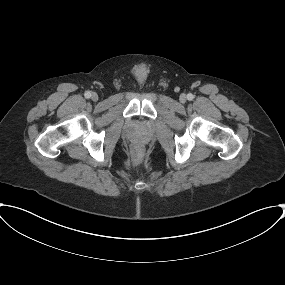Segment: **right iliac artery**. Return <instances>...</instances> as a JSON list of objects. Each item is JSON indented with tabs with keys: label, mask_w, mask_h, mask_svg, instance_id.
Listing matches in <instances>:
<instances>
[{
	"label": "right iliac artery",
	"mask_w": 285,
	"mask_h": 285,
	"mask_svg": "<svg viewBox=\"0 0 285 285\" xmlns=\"http://www.w3.org/2000/svg\"><path fill=\"white\" fill-rule=\"evenodd\" d=\"M85 98H90L91 97V92L87 91L84 94Z\"/></svg>",
	"instance_id": "1"
}]
</instances>
